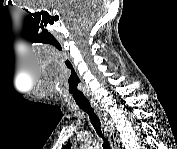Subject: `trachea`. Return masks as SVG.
Returning <instances> with one entry per match:
<instances>
[{"label":"trachea","mask_w":177,"mask_h":149,"mask_svg":"<svg viewBox=\"0 0 177 149\" xmlns=\"http://www.w3.org/2000/svg\"><path fill=\"white\" fill-rule=\"evenodd\" d=\"M82 96H83V94L79 93L77 90L74 91V98L76 100V103H77L78 107L88 114L89 119L92 122V124H93V126H94V128L96 130V133L98 134V136L100 138H102V140H103V149H111L108 139L105 138L103 136V134H102L100 120L97 117V115L94 113L90 102L86 101V102L81 103V102L77 101V99H79Z\"/></svg>","instance_id":"obj_1"}]
</instances>
